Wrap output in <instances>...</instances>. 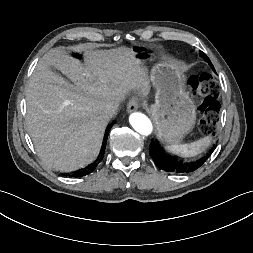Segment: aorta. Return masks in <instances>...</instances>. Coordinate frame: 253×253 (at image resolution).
Instances as JSON below:
<instances>
[{
    "mask_svg": "<svg viewBox=\"0 0 253 253\" xmlns=\"http://www.w3.org/2000/svg\"><path fill=\"white\" fill-rule=\"evenodd\" d=\"M129 122L134 130L142 135L148 136L152 133V123L150 119L142 113H132L129 117Z\"/></svg>",
    "mask_w": 253,
    "mask_h": 253,
    "instance_id": "762f6f07",
    "label": "aorta"
}]
</instances>
